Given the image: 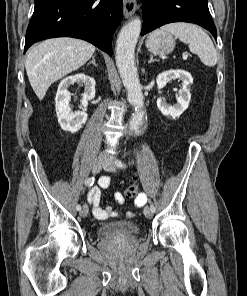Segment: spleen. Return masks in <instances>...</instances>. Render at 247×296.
Returning <instances> with one entry per match:
<instances>
[{"label": "spleen", "mask_w": 247, "mask_h": 296, "mask_svg": "<svg viewBox=\"0 0 247 296\" xmlns=\"http://www.w3.org/2000/svg\"><path fill=\"white\" fill-rule=\"evenodd\" d=\"M162 31H166L183 43L187 44L189 50L198 55L201 62L209 67L217 63V51L207 33L199 26L191 23L176 22L164 25Z\"/></svg>", "instance_id": "spleen-1"}]
</instances>
